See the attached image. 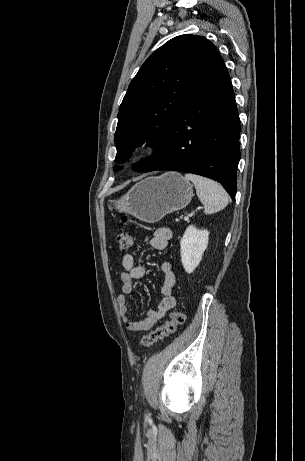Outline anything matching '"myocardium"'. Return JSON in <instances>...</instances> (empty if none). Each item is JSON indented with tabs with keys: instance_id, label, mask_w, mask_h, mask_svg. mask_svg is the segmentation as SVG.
Here are the masks:
<instances>
[{
	"instance_id": "obj_1",
	"label": "myocardium",
	"mask_w": 305,
	"mask_h": 461,
	"mask_svg": "<svg viewBox=\"0 0 305 461\" xmlns=\"http://www.w3.org/2000/svg\"><path fill=\"white\" fill-rule=\"evenodd\" d=\"M145 151H146L145 148L142 147V146H140V147L135 148V149L133 150V153H134L135 155H142V154L145 153Z\"/></svg>"
}]
</instances>
